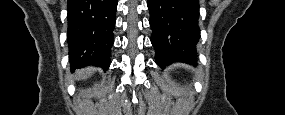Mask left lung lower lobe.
I'll list each match as a JSON object with an SVG mask.
<instances>
[{"label":"left lung lower lobe","mask_w":285,"mask_h":115,"mask_svg":"<svg viewBox=\"0 0 285 115\" xmlns=\"http://www.w3.org/2000/svg\"><path fill=\"white\" fill-rule=\"evenodd\" d=\"M155 61L164 68L173 62L196 64L200 38L198 0H148Z\"/></svg>","instance_id":"0a47b994"}]
</instances>
